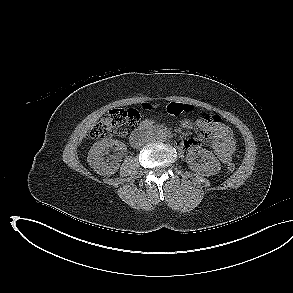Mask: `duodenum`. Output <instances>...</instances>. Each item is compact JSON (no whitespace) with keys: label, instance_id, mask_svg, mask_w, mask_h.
<instances>
[{"label":"duodenum","instance_id":"1","mask_svg":"<svg viewBox=\"0 0 293 293\" xmlns=\"http://www.w3.org/2000/svg\"><path fill=\"white\" fill-rule=\"evenodd\" d=\"M151 135L169 136L170 132L164 128H155L150 125H142L131 134L130 142L133 146H139L146 137Z\"/></svg>","mask_w":293,"mask_h":293}]
</instances>
